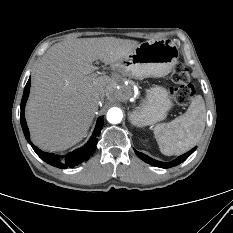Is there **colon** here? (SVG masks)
Here are the masks:
<instances>
[{"label": "colon", "mask_w": 233, "mask_h": 233, "mask_svg": "<svg viewBox=\"0 0 233 233\" xmlns=\"http://www.w3.org/2000/svg\"><path fill=\"white\" fill-rule=\"evenodd\" d=\"M175 87L171 88L173 100L179 105H188L193 96V88L190 83V75L182 63H177L171 74Z\"/></svg>", "instance_id": "1"}]
</instances>
